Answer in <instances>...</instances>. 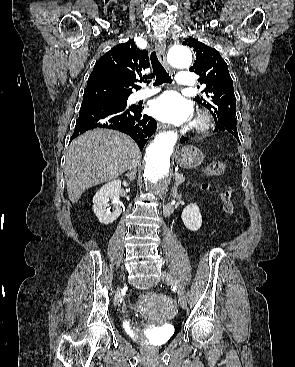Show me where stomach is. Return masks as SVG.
<instances>
[{
    "label": "stomach",
    "instance_id": "obj_1",
    "mask_svg": "<svg viewBox=\"0 0 295 367\" xmlns=\"http://www.w3.org/2000/svg\"><path fill=\"white\" fill-rule=\"evenodd\" d=\"M204 154L195 146L186 145L175 153L177 164L184 169L200 166L204 161Z\"/></svg>",
    "mask_w": 295,
    "mask_h": 367
}]
</instances>
